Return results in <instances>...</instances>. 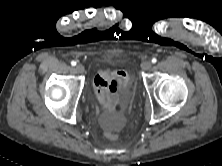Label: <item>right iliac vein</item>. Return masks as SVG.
<instances>
[{"label":"right iliac vein","mask_w":222,"mask_h":166,"mask_svg":"<svg viewBox=\"0 0 222 166\" xmlns=\"http://www.w3.org/2000/svg\"><path fill=\"white\" fill-rule=\"evenodd\" d=\"M75 70L77 73H84V67L80 64L75 67Z\"/></svg>","instance_id":"right-iliac-vein-1"}]
</instances>
